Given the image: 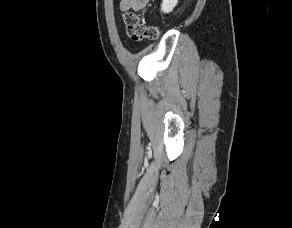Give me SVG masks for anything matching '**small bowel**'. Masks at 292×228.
Segmentation results:
<instances>
[{"mask_svg": "<svg viewBox=\"0 0 292 228\" xmlns=\"http://www.w3.org/2000/svg\"><path fill=\"white\" fill-rule=\"evenodd\" d=\"M149 0H121L120 1V10H141L143 9Z\"/></svg>", "mask_w": 292, "mask_h": 228, "instance_id": "c3829d8e", "label": "small bowel"}]
</instances>
